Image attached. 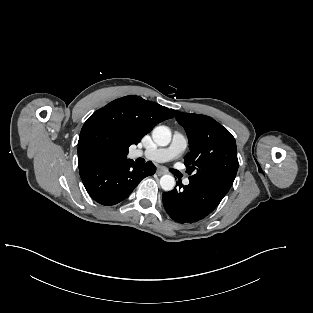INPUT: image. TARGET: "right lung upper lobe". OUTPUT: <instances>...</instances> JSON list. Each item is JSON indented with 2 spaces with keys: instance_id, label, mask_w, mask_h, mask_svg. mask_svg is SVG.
<instances>
[{
  "instance_id": "1",
  "label": "right lung upper lobe",
  "mask_w": 313,
  "mask_h": 313,
  "mask_svg": "<svg viewBox=\"0 0 313 313\" xmlns=\"http://www.w3.org/2000/svg\"><path fill=\"white\" fill-rule=\"evenodd\" d=\"M172 112L135 95L116 99L95 111L84 123L78 141L79 168L127 160L128 148L138 144Z\"/></svg>"
}]
</instances>
